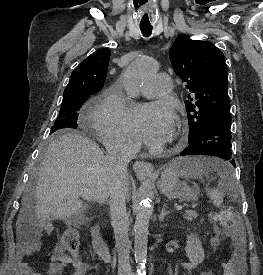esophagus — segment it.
<instances>
[{"label":"esophagus","instance_id":"34e87169","mask_svg":"<svg viewBox=\"0 0 263 275\" xmlns=\"http://www.w3.org/2000/svg\"><path fill=\"white\" fill-rule=\"evenodd\" d=\"M133 170L138 177H146L153 171V165L149 162L136 161L133 164Z\"/></svg>","mask_w":263,"mask_h":275}]
</instances>
